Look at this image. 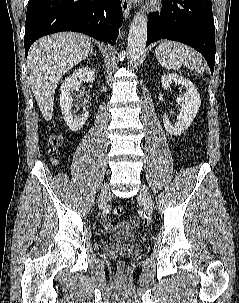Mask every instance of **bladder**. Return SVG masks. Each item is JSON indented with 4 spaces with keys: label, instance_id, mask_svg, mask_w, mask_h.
I'll list each match as a JSON object with an SVG mask.
<instances>
[{
    "label": "bladder",
    "instance_id": "obj_1",
    "mask_svg": "<svg viewBox=\"0 0 239 303\" xmlns=\"http://www.w3.org/2000/svg\"><path fill=\"white\" fill-rule=\"evenodd\" d=\"M121 238L128 241V242H131V241L135 240L136 234H134V233L124 234V235L121 236Z\"/></svg>",
    "mask_w": 239,
    "mask_h": 303
}]
</instances>
